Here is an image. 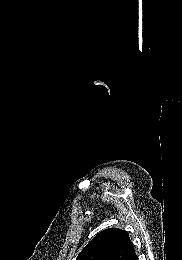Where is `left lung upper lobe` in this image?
Masks as SVG:
<instances>
[{
  "mask_svg": "<svg viewBox=\"0 0 182 260\" xmlns=\"http://www.w3.org/2000/svg\"><path fill=\"white\" fill-rule=\"evenodd\" d=\"M132 249L133 243L126 231L108 228L98 233L76 260H125Z\"/></svg>",
  "mask_w": 182,
  "mask_h": 260,
  "instance_id": "obj_1",
  "label": "left lung upper lobe"
}]
</instances>
